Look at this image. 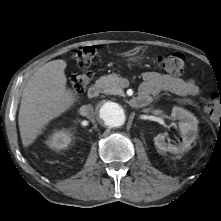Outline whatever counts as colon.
<instances>
[{"label": "colon", "mask_w": 221, "mask_h": 221, "mask_svg": "<svg viewBox=\"0 0 221 221\" xmlns=\"http://www.w3.org/2000/svg\"><path fill=\"white\" fill-rule=\"evenodd\" d=\"M93 47H84L74 51L73 58L77 65L84 69L83 72L75 74L70 79V85L74 92L82 93L92 78V72L88 70L93 64L95 57ZM156 68L172 73L179 74L186 68V59L181 53H173L165 56H156L153 59ZM207 112L212 118L221 122V93H212L207 100Z\"/></svg>", "instance_id": "obj_1"}]
</instances>
